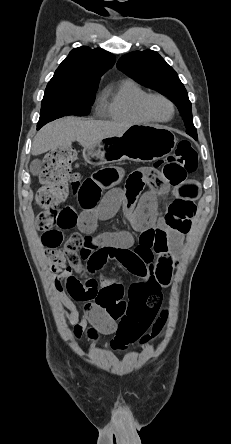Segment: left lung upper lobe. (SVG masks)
<instances>
[{
    "label": "left lung upper lobe",
    "mask_w": 231,
    "mask_h": 444,
    "mask_svg": "<svg viewBox=\"0 0 231 444\" xmlns=\"http://www.w3.org/2000/svg\"><path fill=\"white\" fill-rule=\"evenodd\" d=\"M119 70L143 86L152 88L174 101L185 120L186 133L197 138L191 102L175 70L155 51H134L121 57Z\"/></svg>",
    "instance_id": "5c2ea615"
}]
</instances>
